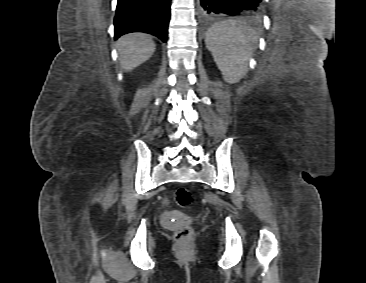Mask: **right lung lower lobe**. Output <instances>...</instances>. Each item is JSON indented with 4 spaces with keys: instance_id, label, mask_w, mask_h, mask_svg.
<instances>
[{
    "instance_id": "98d812e1",
    "label": "right lung lower lobe",
    "mask_w": 366,
    "mask_h": 283,
    "mask_svg": "<svg viewBox=\"0 0 366 283\" xmlns=\"http://www.w3.org/2000/svg\"><path fill=\"white\" fill-rule=\"evenodd\" d=\"M171 0H118L115 39L131 32H146L167 39Z\"/></svg>"
}]
</instances>
